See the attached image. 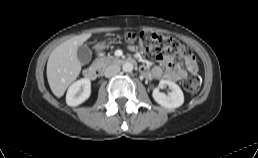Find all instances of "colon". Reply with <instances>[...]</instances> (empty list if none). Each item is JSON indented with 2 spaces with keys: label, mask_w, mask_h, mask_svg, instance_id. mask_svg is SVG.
I'll return each mask as SVG.
<instances>
[{
  "label": "colon",
  "mask_w": 258,
  "mask_h": 158,
  "mask_svg": "<svg viewBox=\"0 0 258 158\" xmlns=\"http://www.w3.org/2000/svg\"><path fill=\"white\" fill-rule=\"evenodd\" d=\"M127 41L134 47L155 54H167L187 59L192 54L191 51L177 40L156 33H128ZM184 89L189 93H197L201 88V78L196 75H190L183 82Z\"/></svg>",
  "instance_id": "colon-1"
}]
</instances>
